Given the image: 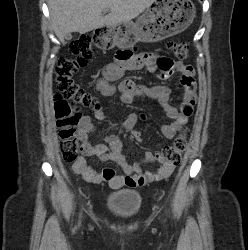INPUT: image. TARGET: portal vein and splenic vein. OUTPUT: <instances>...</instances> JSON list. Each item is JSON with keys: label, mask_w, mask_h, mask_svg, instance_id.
I'll use <instances>...</instances> for the list:
<instances>
[{"label": "portal vein and splenic vein", "mask_w": 248, "mask_h": 250, "mask_svg": "<svg viewBox=\"0 0 248 250\" xmlns=\"http://www.w3.org/2000/svg\"><path fill=\"white\" fill-rule=\"evenodd\" d=\"M107 12H108V10H104V11H103V13H107Z\"/></svg>", "instance_id": "1"}]
</instances>
